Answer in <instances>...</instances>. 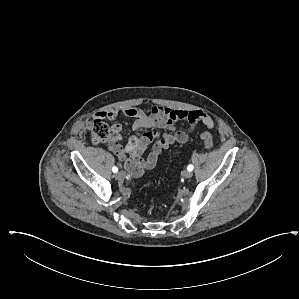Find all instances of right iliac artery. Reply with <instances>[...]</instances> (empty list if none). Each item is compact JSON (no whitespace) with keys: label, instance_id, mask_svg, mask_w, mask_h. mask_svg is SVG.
<instances>
[{"label":"right iliac artery","instance_id":"right-iliac-artery-1","mask_svg":"<svg viewBox=\"0 0 299 299\" xmlns=\"http://www.w3.org/2000/svg\"><path fill=\"white\" fill-rule=\"evenodd\" d=\"M112 171H113L114 173H117V172H118V168H117L116 166H114V167L112 168Z\"/></svg>","mask_w":299,"mask_h":299}]
</instances>
